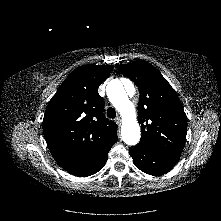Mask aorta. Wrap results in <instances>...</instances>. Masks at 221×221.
Masks as SVG:
<instances>
[{"label": "aorta", "instance_id": "1", "mask_svg": "<svg viewBox=\"0 0 221 221\" xmlns=\"http://www.w3.org/2000/svg\"><path fill=\"white\" fill-rule=\"evenodd\" d=\"M133 91L134 88H132ZM107 96L122 117L121 136L123 141L130 146L136 145L141 136L140 127L135 107L129 100L123 84L117 79L110 81L107 85Z\"/></svg>", "mask_w": 221, "mask_h": 221}]
</instances>
